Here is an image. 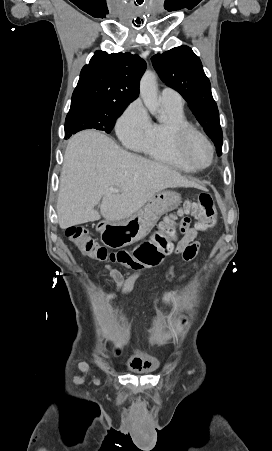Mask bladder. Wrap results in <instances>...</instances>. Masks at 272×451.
Returning <instances> with one entry per match:
<instances>
[{"label": "bladder", "mask_w": 272, "mask_h": 451, "mask_svg": "<svg viewBox=\"0 0 272 451\" xmlns=\"http://www.w3.org/2000/svg\"><path fill=\"white\" fill-rule=\"evenodd\" d=\"M129 360H138V361L146 362V369H148V370H156L160 366V361L156 357H154V356L148 354L146 351H142V350L131 353L129 356ZM132 371H134L136 373L141 372V370H139V369H132Z\"/></svg>", "instance_id": "bladder-1"}]
</instances>
